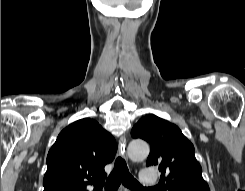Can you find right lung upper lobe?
Returning <instances> with one entry per match:
<instances>
[{
    "label": "right lung upper lobe",
    "instance_id": "obj_1",
    "mask_svg": "<svg viewBox=\"0 0 245 191\" xmlns=\"http://www.w3.org/2000/svg\"><path fill=\"white\" fill-rule=\"evenodd\" d=\"M117 151L114 137L90 118L63 129L47 155L44 191H93L102 189L107 174L104 167Z\"/></svg>",
    "mask_w": 245,
    "mask_h": 191
}]
</instances>
